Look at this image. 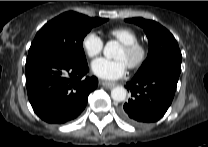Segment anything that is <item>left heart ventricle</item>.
Here are the masks:
<instances>
[{"label":"left heart ventricle","mask_w":208,"mask_h":147,"mask_svg":"<svg viewBox=\"0 0 208 147\" xmlns=\"http://www.w3.org/2000/svg\"><path fill=\"white\" fill-rule=\"evenodd\" d=\"M116 58L123 59L127 63V65H129L133 61L134 56L126 52L122 47H120V49L116 53Z\"/></svg>","instance_id":"left-heart-ventricle-1"}]
</instances>
